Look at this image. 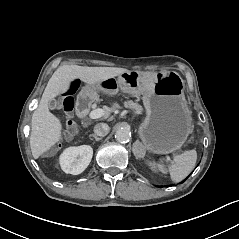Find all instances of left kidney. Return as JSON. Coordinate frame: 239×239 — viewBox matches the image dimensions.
<instances>
[{"label": "left kidney", "instance_id": "1", "mask_svg": "<svg viewBox=\"0 0 239 239\" xmlns=\"http://www.w3.org/2000/svg\"><path fill=\"white\" fill-rule=\"evenodd\" d=\"M148 165L151 167L152 170H155V164L154 163L149 162Z\"/></svg>", "mask_w": 239, "mask_h": 239}]
</instances>
